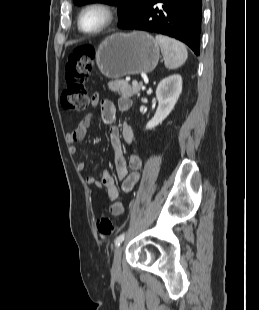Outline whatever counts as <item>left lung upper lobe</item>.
<instances>
[{
    "instance_id": "left-lung-upper-lobe-1",
    "label": "left lung upper lobe",
    "mask_w": 259,
    "mask_h": 310,
    "mask_svg": "<svg viewBox=\"0 0 259 310\" xmlns=\"http://www.w3.org/2000/svg\"><path fill=\"white\" fill-rule=\"evenodd\" d=\"M150 1L151 0H73L74 4L78 6L94 2L117 5L120 20L118 26H121L142 12Z\"/></svg>"
}]
</instances>
